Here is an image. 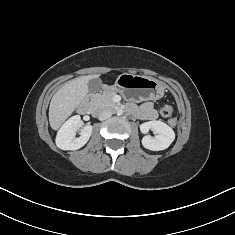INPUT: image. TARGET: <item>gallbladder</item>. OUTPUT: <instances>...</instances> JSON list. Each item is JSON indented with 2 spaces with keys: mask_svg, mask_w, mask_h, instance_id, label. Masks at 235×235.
Returning <instances> with one entry per match:
<instances>
[{
  "mask_svg": "<svg viewBox=\"0 0 235 235\" xmlns=\"http://www.w3.org/2000/svg\"><path fill=\"white\" fill-rule=\"evenodd\" d=\"M102 87V81L100 78H93L88 82L89 92L95 93L98 92Z\"/></svg>",
  "mask_w": 235,
  "mask_h": 235,
  "instance_id": "obj_1",
  "label": "gallbladder"
}]
</instances>
